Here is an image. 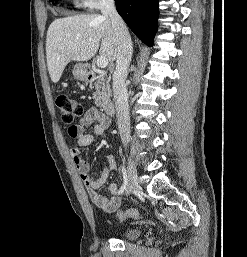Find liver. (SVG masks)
Instances as JSON below:
<instances>
[{"instance_id": "obj_1", "label": "liver", "mask_w": 247, "mask_h": 257, "mask_svg": "<svg viewBox=\"0 0 247 257\" xmlns=\"http://www.w3.org/2000/svg\"><path fill=\"white\" fill-rule=\"evenodd\" d=\"M98 49L108 61L116 59L118 44L108 16L81 14L55 19L46 39L47 66L52 82L59 81L70 61H88Z\"/></svg>"}]
</instances>
